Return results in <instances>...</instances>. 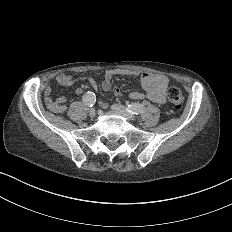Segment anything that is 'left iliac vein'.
I'll use <instances>...</instances> for the list:
<instances>
[{"label": "left iliac vein", "mask_w": 232, "mask_h": 232, "mask_svg": "<svg viewBox=\"0 0 232 232\" xmlns=\"http://www.w3.org/2000/svg\"><path fill=\"white\" fill-rule=\"evenodd\" d=\"M112 111L119 113L120 115L124 116L125 118H128L129 121H134L135 120V115L131 114L130 111L123 108L118 103H113L112 104Z\"/></svg>", "instance_id": "obj_1"}]
</instances>
